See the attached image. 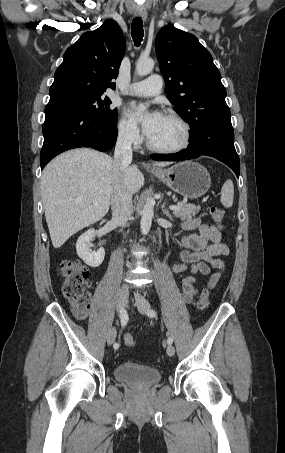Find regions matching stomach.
Returning a JSON list of instances; mask_svg holds the SVG:
<instances>
[{
	"label": "stomach",
	"mask_w": 285,
	"mask_h": 453,
	"mask_svg": "<svg viewBox=\"0 0 285 453\" xmlns=\"http://www.w3.org/2000/svg\"><path fill=\"white\" fill-rule=\"evenodd\" d=\"M152 173L184 198H199L211 186L207 169L193 161L179 162L168 169H153Z\"/></svg>",
	"instance_id": "stomach-1"
}]
</instances>
